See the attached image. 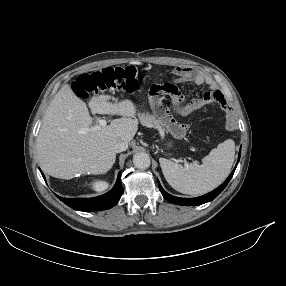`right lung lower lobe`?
I'll use <instances>...</instances> for the list:
<instances>
[{"instance_id":"1","label":"right lung lower lobe","mask_w":286,"mask_h":286,"mask_svg":"<svg viewBox=\"0 0 286 286\" xmlns=\"http://www.w3.org/2000/svg\"><path fill=\"white\" fill-rule=\"evenodd\" d=\"M41 171V170H40ZM43 178L44 174L41 172ZM123 194V187L121 184L120 173L115 186L108 193L94 197V198H62L57 196L62 202H64L69 207L85 212L100 211L113 207L120 199Z\"/></svg>"}]
</instances>
